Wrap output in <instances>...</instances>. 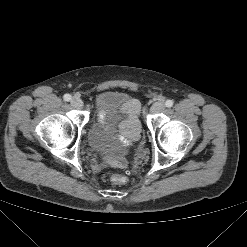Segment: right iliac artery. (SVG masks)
I'll return each instance as SVG.
<instances>
[{
  "instance_id": "obj_1",
  "label": "right iliac artery",
  "mask_w": 247,
  "mask_h": 247,
  "mask_svg": "<svg viewBox=\"0 0 247 247\" xmlns=\"http://www.w3.org/2000/svg\"><path fill=\"white\" fill-rule=\"evenodd\" d=\"M63 98H64L65 101H70L71 100V95L70 94H65L63 96Z\"/></svg>"
}]
</instances>
